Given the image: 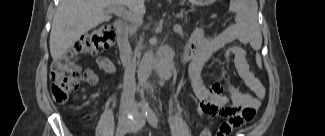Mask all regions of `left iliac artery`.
<instances>
[{
    "instance_id": "obj_1",
    "label": "left iliac artery",
    "mask_w": 325,
    "mask_h": 136,
    "mask_svg": "<svg viewBox=\"0 0 325 136\" xmlns=\"http://www.w3.org/2000/svg\"><path fill=\"white\" fill-rule=\"evenodd\" d=\"M147 117H148V121H149L150 125L153 126V127H157V125H158V118H157L156 114L151 111L147 115Z\"/></svg>"
}]
</instances>
